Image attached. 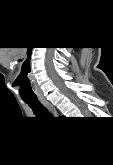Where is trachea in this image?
<instances>
[{
    "label": "trachea",
    "instance_id": "trachea-1",
    "mask_svg": "<svg viewBox=\"0 0 113 165\" xmlns=\"http://www.w3.org/2000/svg\"><path fill=\"white\" fill-rule=\"evenodd\" d=\"M38 117H49L48 110L39 102V100H24Z\"/></svg>",
    "mask_w": 113,
    "mask_h": 165
}]
</instances>
